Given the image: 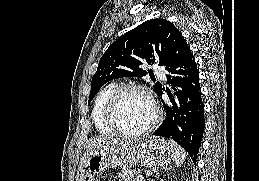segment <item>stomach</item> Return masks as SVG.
I'll use <instances>...</instances> for the list:
<instances>
[{
  "label": "stomach",
  "mask_w": 259,
  "mask_h": 181,
  "mask_svg": "<svg viewBox=\"0 0 259 181\" xmlns=\"http://www.w3.org/2000/svg\"><path fill=\"white\" fill-rule=\"evenodd\" d=\"M173 160L168 142L150 137L124 149H91L81 158L76 181H99L108 168L130 169L136 165L164 169Z\"/></svg>",
  "instance_id": "stomach-1"
}]
</instances>
